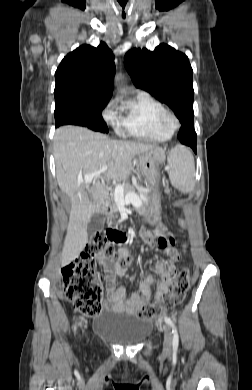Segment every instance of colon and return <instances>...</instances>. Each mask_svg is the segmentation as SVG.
Instances as JSON below:
<instances>
[{
  "mask_svg": "<svg viewBox=\"0 0 252 390\" xmlns=\"http://www.w3.org/2000/svg\"><path fill=\"white\" fill-rule=\"evenodd\" d=\"M118 237V231L115 229L109 228L98 233L87 250L62 271L66 296L84 316H97L102 309L104 289L97 272V260H115L116 265L121 267L130 261L125 252L116 249ZM189 288V271L182 269L168 294L151 305L139 307L136 314L142 318L161 314L181 303Z\"/></svg>",
  "mask_w": 252,
  "mask_h": 390,
  "instance_id": "5ec220e1",
  "label": "colon"
}]
</instances>
